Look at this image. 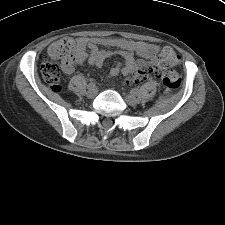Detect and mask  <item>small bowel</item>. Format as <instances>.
I'll return each instance as SVG.
<instances>
[{"mask_svg":"<svg viewBox=\"0 0 225 225\" xmlns=\"http://www.w3.org/2000/svg\"><path fill=\"white\" fill-rule=\"evenodd\" d=\"M76 44V62L70 65H64L63 70L66 74L74 72L76 65H80L86 60L97 67L103 66L104 62L114 55L110 50H103L99 45L106 47L118 48L116 54L120 56L123 62H116V64L109 70L107 77L112 78L119 74L130 75L133 74L137 66L144 62V59L149 61H156L159 53V47L154 44L143 42H136L133 44L125 43L121 40L111 38H87L79 37L75 40ZM135 54L142 57V59H135Z\"/></svg>","mask_w":225,"mask_h":225,"instance_id":"small-bowel-1","label":"small bowel"}]
</instances>
